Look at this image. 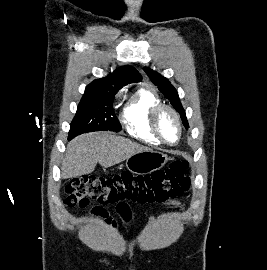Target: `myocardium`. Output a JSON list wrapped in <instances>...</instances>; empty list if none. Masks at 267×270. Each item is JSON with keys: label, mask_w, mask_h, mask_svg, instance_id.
<instances>
[{"label": "myocardium", "mask_w": 267, "mask_h": 270, "mask_svg": "<svg viewBox=\"0 0 267 270\" xmlns=\"http://www.w3.org/2000/svg\"><path fill=\"white\" fill-rule=\"evenodd\" d=\"M164 111L170 112L173 115V117L175 118L177 125H178V130H179L178 139L174 143L167 141L163 137V135L160 131V128H159V118H160V115L162 114V112H164ZM150 127H151L152 132L156 136V138L161 143L166 144V145H170V146H174V145L178 144L182 138V135H183V125H182V122H181V119H180L178 112L173 107H171L167 104H159L152 109L151 114H150Z\"/></svg>", "instance_id": "obj_1"}]
</instances>
